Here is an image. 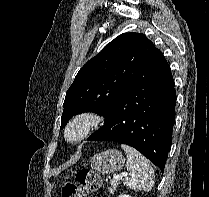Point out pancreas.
<instances>
[{"label":"pancreas","instance_id":"cf45deb5","mask_svg":"<svg viewBox=\"0 0 209 197\" xmlns=\"http://www.w3.org/2000/svg\"><path fill=\"white\" fill-rule=\"evenodd\" d=\"M110 185H111V188H109V192L113 193L114 190L117 188L118 183H117V182L111 181V182H110Z\"/></svg>","mask_w":209,"mask_h":197}]
</instances>
